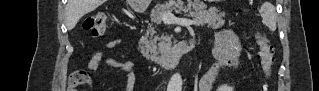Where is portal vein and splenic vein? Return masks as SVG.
Returning a JSON list of instances; mask_svg holds the SVG:
<instances>
[{"mask_svg":"<svg viewBox=\"0 0 319 91\" xmlns=\"http://www.w3.org/2000/svg\"><path fill=\"white\" fill-rule=\"evenodd\" d=\"M162 20L168 24L176 23V24L185 25V26L197 25L196 21L176 18L175 15L170 12L164 13L162 15Z\"/></svg>","mask_w":319,"mask_h":91,"instance_id":"portal-vein-and-splenic-vein-1","label":"portal vein and splenic vein"}]
</instances>
